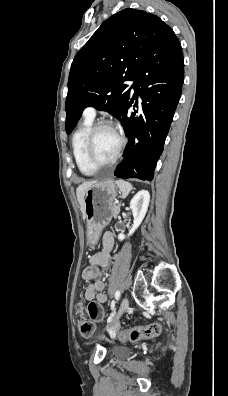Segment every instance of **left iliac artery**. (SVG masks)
<instances>
[{"label": "left iliac artery", "mask_w": 228, "mask_h": 396, "mask_svg": "<svg viewBox=\"0 0 228 396\" xmlns=\"http://www.w3.org/2000/svg\"><path fill=\"white\" fill-rule=\"evenodd\" d=\"M120 293H121V292H120L119 290L116 291V293H115V299H116V300H119V298H120Z\"/></svg>", "instance_id": "1"}]
</instances>
